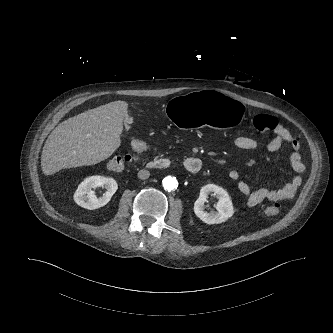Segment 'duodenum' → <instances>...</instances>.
<instances>
[{"label":"duodenum","instance_id":"410a0bca","mask_svg":"<svg viewBox=\"0 0 333 333\" xmlns=\"http://www.w3.org/2000/svg\"><path fill=\"white\" fill-rule=\"evenodd\" d=\"M169 166L170 161L164 158L154 159L148 163V167L155 170H164ZM183 167L187 172L191 174H197L201 171L203 164L202 161L197 157H188L183 161Z\"/></svg>","mask_w":333,"mask_h":333}]
</instances>
